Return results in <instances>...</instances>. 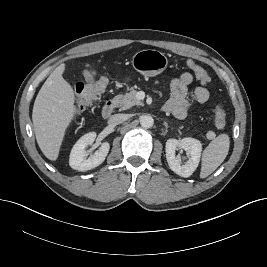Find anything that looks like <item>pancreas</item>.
<instances>
[{
	"label": "pancreas",
	"mask_w": 267,
	"mask_h": 267,
	"mask_svg": "<svg viewBox=\"0 0 267 267\" xmlns=\"http://www.w3.org/2000/svg\"><path fill=\"white\" fill-rule=\"evenodd\" d=\"M136 93L137 91L131 88L129 93L115 96L114 102L121 110H127L134 105H141L142 102L136 98Z\"/></svg>",
	"instance_id": "obj_1"
}]
</instances>
